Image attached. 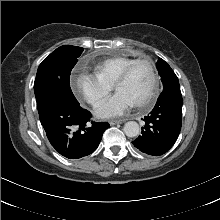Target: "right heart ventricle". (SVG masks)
<instances>
[{"mask_svg": "<svg viewBox=\"0 0 220 220\" xmlns=\"http://www.w3.org/2000/svg\"><path fill=\"white\" fill-rule=\"evenodd\" d=\"M135 59L126 56L107 58L94 66L97 77L109 85H114L122 71Z\"/></svg>", "mask_w": 220, "mask_h": 220, "instance_id": "right-heart-ventricle-1", "label": "right heart ventricle"}]
</instances>
